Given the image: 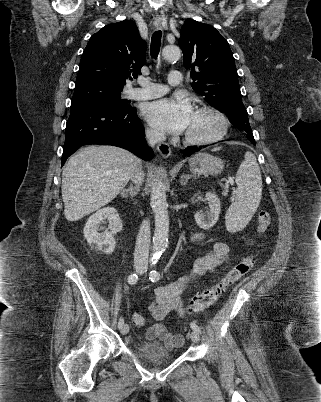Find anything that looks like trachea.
<instances>
[{"label":"trachea","instance_id":"obj_1","mask_svg":"<svg viewBox=\"0 0 321 402\" xmlns=\"http://www.w3.org/2000/svg\"><path fill=\"white\" fill-rule=\"evenodd\" d=\"M161 37H162V32H161V30H158L153 33L152 38H151L150 53L154 59H157L159 51H160Z\"/></svg>","mask_w":321,"mask_h":402}]
</instances>
